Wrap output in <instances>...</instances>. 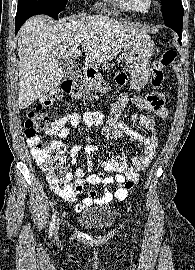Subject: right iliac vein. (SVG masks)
<instances>
[{"mask_svg": "<svg viewBox=\"0 0 195 270\" xmlns=\"http://www.w3.org/2000/svg\"><path fill=\"white\" fill-rule=\"evenodd\" d=\"M58 228H59V222L56 223V228H55V233L56 234H57Z\"/></svg>", "mask_w": 195, "mask_h": 270, "instance_id": "obj_1", "label": "right iliac vein"}]
</instances>
